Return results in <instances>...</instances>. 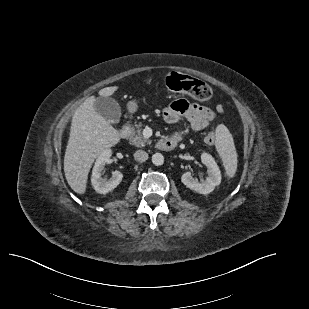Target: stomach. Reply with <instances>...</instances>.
I'll return each mask as SVG.
<instances>
[{
    "instance_id": "obj_1",
    "label": "stomach",
    "mask_w": 309,
    "mask_h": 309,
    "mask_svg": "<svg viewBox=\"0 0 309 309\" xmlns=\"http://www.w3.org/2000/svg\"><path fill=\"white\" fill-rule=\"evenodd\" d=\"M127 109L130 113H135L138 109V104L135 100L128 102Z\"/></svg>"
}]
</instances>
